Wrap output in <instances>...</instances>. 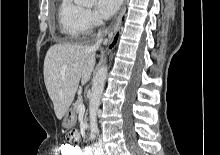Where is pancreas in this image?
Masks as SVG:
<instances>
[{
    "label": "pancreas",
    "mask_w": 220,
    "mask_h": 155,
    "mask_svg": "<svg viewBox=\"0 0 220 155\" xmlns=\"http://www.w3.org/2000/svg\"><path fill=\"white\" fill-rule=\"evenodd\" d=\"M82 102H83V99H82V97H78V99L75 101V103L73 104V110H74V112H78L79 110H78V106L80 105V104H82Z\"/></svg>",
    "instance_id": "1"
}]
</instances>
